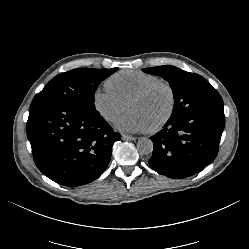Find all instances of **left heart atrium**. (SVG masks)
I'll return each mask as SVG.
<instances>
[{"mask_svg":"<svg viewBox=\"0 0 249 249\" xmlns=\"http://www.w3.org/2000/svg\"><path fill=\"white\" fill-rule=\"evenodd\" d=\"M114 125L118 130L128 133L146 132L149 129L142 116L137 112H128L118 116Z\"/></svg>","mask_w":249,"mask_h":249,"instance_id":"39dd6f15","label":"left heart atrium"}]
</instances>
